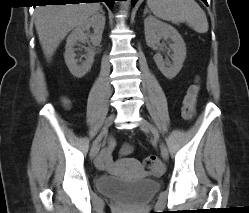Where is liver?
<instances>
[{"label":"liver","instance_id":"6515ba94","mask_svg":"<svg viewBox=\"0 0 249 213\" xmlns=\"http://www.w3.org/2000/svg\"><path fill=\"white\" fill-rule=\"evenodd\" d=\"M99 2L36 6L35 27L47 59H51L66 35L100 10Z\"/></svg>","mask_w":249,"mask_h":213}]
</instances>
